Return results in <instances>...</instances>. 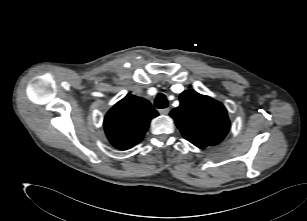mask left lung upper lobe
Returning <instances> with one entry per match:
<instances>
[{
  "instance_id": "obj_1",
  "label": "left lung upper lobe",
  "mask_w": 307,
  "mask_h": 221,
  "mask_svg": "<svg viewBox=\"0 0 307 221\" xmlns=\"http://www.w3.org/2000/svg\"><path fill=\"white\" fill-rule=\"evenodd\" d=\"M170 116L183 137L199 148L220 143L230 127L227 111L219 101L192 90L180 94V105Z\"/></svg>"
}]
</instances>
